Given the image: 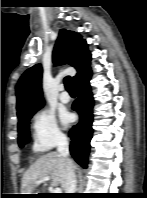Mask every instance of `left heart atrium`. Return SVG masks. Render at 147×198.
Returning a JSON list of instances; mask_svg holds the SVG:
<instances>
[{"instance_id":"39dd6f15","label":"left heart atrium","mask_w":147,"mask_h":198,"mask_svg":"<svg viewBox=\"0 0 147 198\" xmlns=\"http://www.w3.org/2000/svg\"><path fill=\"white\" fill-rule=\"evenodd\" d=\"M61 120L64 125H69L73 121V116L69 113H64L61 116Z\"/></svg>"}]
</instances>
